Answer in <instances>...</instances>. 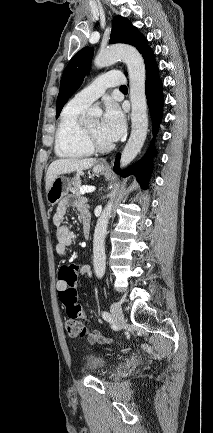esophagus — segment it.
Returning a JSON list of instances; mask_svg holds the SVG:
<instances>
[{
	"instance_id": "obj_1",
	"label": "esophagus",
	"mask_w": 213,
	"mask_h": 433,
	"mask_svg": "<svg viewBox=\"0 0 213 433\" xmlns=\"http://www.w3.org/2000/svg\"><path fill=\"white\" fill-rule=\"evenodd\" d=\"M103 165H104V166H109V164H108V163H104Z\"/></svg>"
}]
</instances>
